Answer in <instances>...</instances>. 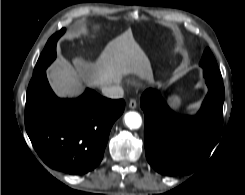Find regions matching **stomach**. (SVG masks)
<instances>
[{"label":"stomach","mask_w":245,"mask_h":195,"mask_svg":"<svg viewBox=\"0 0 245 195\" xmlns=\"http://www.w3.org/2000/svg\"><path fill=\"white\" fill-rule=\"evenodd\" d=\"M170 103L173 107H179L181 104L180 99L177 96L170 97Z\"/></svg>","instance_id":"1"}]
</instances>
